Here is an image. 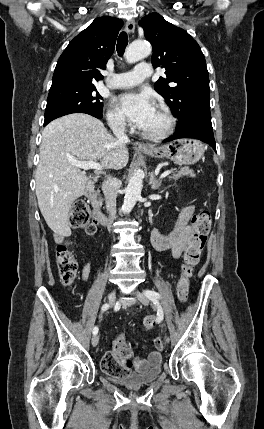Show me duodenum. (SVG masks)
Wrapping results in <instances>:
<instances>
[{"instance_id": "410a0bca", "label": "duodenum", "mask_w": 264, "mask_h": 429, "mask_svg": "<svg viewBox=\"0 0 264 429\" xmlns=\"http://www.w3.org/2000/svg\"><path fill=\"white\" fill-rule=\"evenodd\" d=\"M85 196L91 203L93 210H94V219L101 225H108V216L105 215L101 210L100 202L98 201L96 194H95V187H94V181L89 180L86 188H85Z\"/></svg>"}]
</instances>
